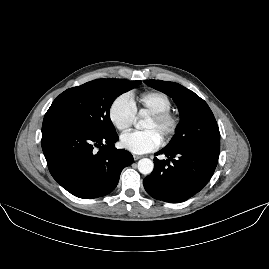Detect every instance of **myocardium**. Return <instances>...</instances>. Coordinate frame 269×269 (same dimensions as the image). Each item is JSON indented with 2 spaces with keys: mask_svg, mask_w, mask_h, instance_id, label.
Masks as SVG:
<instances>
[{
  "mask_svg": "<svg viewBox=\"0 0 269 269\" xmlns=\"http://www.w3.org/2000/svg\"><path fill=\"white\" fill-rule=\"evenodd\" d=\"M151 116L159 120L162 124L168 126V133L163 141V145L170 144L180 130L181 118L179 114L170 109L166 111L153 112L151 113Z\"/></svg>",
  "mask_w": 269,
  "mask_h": 269,
  "instance_id": "1",
  "label": "myocardium"
}]
</instances>
